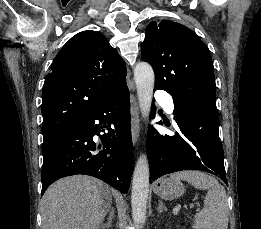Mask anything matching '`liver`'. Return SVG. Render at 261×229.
<instances>
[{"mask_svg":"<svg viewBox=\"0 0 261 229\" xmlns=\"http://www.w3.org/2000/svg\"><path fill=\"white\" fill-rule=\"evenodd\" d=\"M111 203V191L99 179L65 177L41 199V229H100Z\"/></svg>","mask_w":261,"mask_h":229,"instance_id":"obj_1","label":"liver"}]
</instances>
